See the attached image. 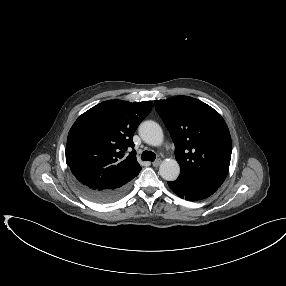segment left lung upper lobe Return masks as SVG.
Here are the masks:
<instances>
[{
    "label": "left lung upper lobe",
    "instance_id": "left-lung-upper-lobe-1",
    "mask_svg": "<svg viewBox=\"0 0 286 286\" xmlns=\"http://www.w3.org/2000/svg\"><path fill=\"white\" fill-rule=\"evenodd\" d=\"M154 103L175 144L180 175L220 187L232 152L229 129L221 115L189 96Z\"/></svg>",
    "mask_w": 286,
    "mask_h": 286
}]
</instances>
